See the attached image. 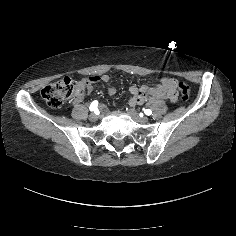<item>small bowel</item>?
Returning a JSON list of instances; mask_svg holds the SVG:
<instances>
[{
    "label": "small bowel",
    "instance_id": "c3829d8e",
    "mask_svg": "<svg viewBox=\"0 0 236 236\" xmlns=\"http://www.w3.org/2000/svg\"><path fill=\"white\" fill-rule=\"evenodd\" d=\"M108 80H109V77L107 75H103L101 77H93L92 81L89 83V85L87 86L86 90L88 92H90L92 90V88H93L92 87V82H94V81H101L103 83H107ZM165 81L166 82H172L171 80H168V79H165ZM144 90H145V88H144ZM108 92L110 94H114L115 93V89L113 87H108ZM130 92H131V94L133 95V98H134V95L138 94L139 90L137 88L133 87V88L130 89ZM82 99H83V93H81V94L76 96L75 103H80L82 101ZM137 101H139V97L137 99H134V102H137Z\"/></svg>",
    "mask_w": 236,
    "mask_h": 236
}]
</instances>
